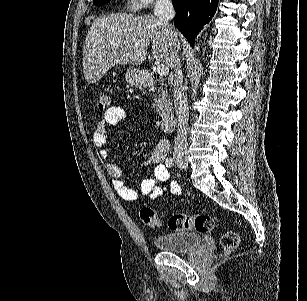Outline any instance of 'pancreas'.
Wrapping results in <instances>:
<instances>
[{
    "mask_svg": "<svg viewBox=\"0 0 307 301\" xmlns=\"http://www.w3.org/2000/svg\"><path fill=\"white\" fill-rule=\"evenodd\" d=\"M152 88L155 90L156 86H152ZM157 90L158 92L155 90V104H153V106L158 108V110H163L164 106H169L170 104L168 90H165L163 86H157Z\"/></svg>",
    "mask_w": 307,
    "mask_h": 301,
    "instance_id": "pancreas-1",
    "label": "pancreas"
}]
</instances>
